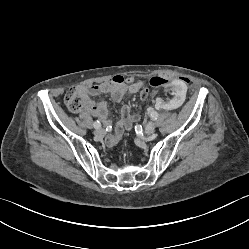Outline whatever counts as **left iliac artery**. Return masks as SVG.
<instances>
[{"label": "left iliac artery", "mask_w": 249, "mask_h": 249, "mask_svg": "<svg viewBox=\"0 0 249 249\" xmlns=\"http://www.w3.org/2000/svg\"><path fill=\"white\" fill-rule=\"evenodd\" d=\"M148 113L150 114V116H151V118H152L153 120H156V119L158 118V113L155 112V111H153L152 109H149V110H148Z\"/></svg>", "instance_id": "left-iliac-artery-1"}]
</instances>
